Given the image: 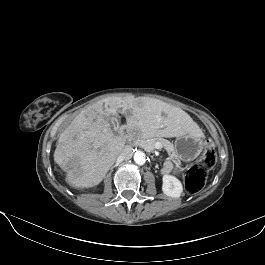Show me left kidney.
Returning a JSON list of instances; mask_svg holds the SVG:
<instances>
[{
  "label": "left kidney",
  "instance_id": "left-kidney-1",
  "mask_svg": "<svg viewBox=\"0 0 265 265\" xmlns=\"http://www.w3.org/2000/svg\"><path fill=\"white\" fill-rule=\"evenodd\" d=\"M162 191L165 195L173 198H179L183 192L181 182L172 175L163 176Z\"/></svg>",
  "mask_w": 265,
  "mask_h": 265
}]
</instances>
